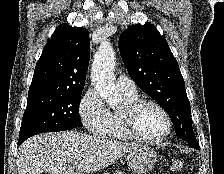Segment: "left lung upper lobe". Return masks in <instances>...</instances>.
<instances>
[{"label": "left lung upper lobe", "mask_w": 224, "mask_h": 174, "mask_svg": "<svg viewBox=\"0 0 224 174\" xmlns=\"http://www.w3.org/2000/svg\"><path fill=\"white\" fill-rule=\"evenodd\" d=\"M118 44L133 81L169 114L176 135L198 149L185 83L165 38L154 25L138 24L123 32Z\"/></svg>", "instance_id": "1"}]
</instances>
